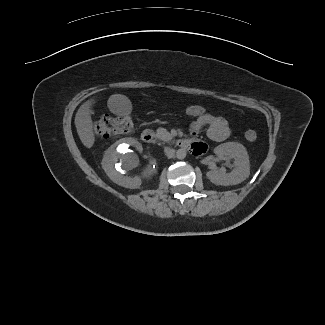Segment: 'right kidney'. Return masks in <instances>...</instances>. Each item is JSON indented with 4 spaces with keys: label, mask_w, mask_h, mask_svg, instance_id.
Masks as SVG:
<instances>
[{
    "label": "right kidney",
    "mask_w": 325,
    "mask_h": 325,
    "mask_svg": "<svg viewBox=\"0 0 325 325\" xmlns=\"http://www.w3.org/2000/svg\"><path fill=\"white\" fill-rule=\"evenodd\" d=\"M137 152L142 156L141 159ZM142 154V145L137 140L123 138L105 151L102 168L114 183L125 188L137 189L154 173V169L145 161Z\"/></svg>",
    "instance_id": "1"
}]
</instances>
